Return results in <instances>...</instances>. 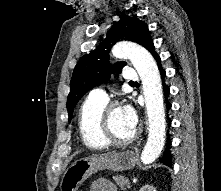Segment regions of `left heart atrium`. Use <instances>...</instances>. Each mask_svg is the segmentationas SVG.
<instances>
[{"label":"left heart atrium","mask_w":221,"mask_h":191,"mask_svg":"<svg viewBox=\"0 0 221 191\" xmlns=\"http://www.w3.org/2000/svg\"><path fill=\"white\" fill-rule=\"evenodd\" d=\"M121 113L126 125L134 131L138 125V116L135 109L127 104L121 107Z\"/></svg>","instance_id":"1"}]
</instances>
